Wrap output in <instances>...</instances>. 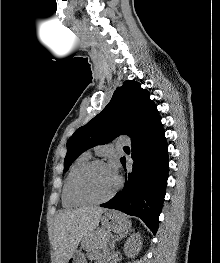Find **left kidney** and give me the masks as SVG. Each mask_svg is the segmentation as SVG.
Listing matches in <instances>:
<instances>
[{"label": "left kidney", "instance_id": "5707ae66", "mask_svg": "<svg viewBox=\"0 0 220 263\" xmlns=\"http://www.w3.org/2000/svg\"><path fill=\"white\" fill-rule=\"evenodd\" d=\"M125 254L128 257H134L136 254H138L139 250L141 249L142 242H141V236L139 233L133 234L125 243Z\"/></svg>", "mask_w": 220, "mask_h": 263}]
</instances>
